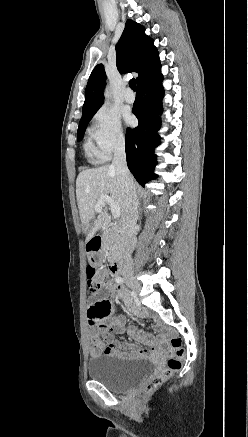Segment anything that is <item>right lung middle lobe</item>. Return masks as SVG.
Returning a JSON list of instances; mask_svg holds the SVG:
<instances>
[{"mask_svg":"<svg viewBox=\"0 0 248 437\" xmlns=\"http://www.w3.org/2000/svg\"><path fill=\"white\" fill-rule=\"evenodd\" d=\"M92 117L93 116H89V117H86L85 119L80 121L79 127H78V133H77V140L78 141L82 140V138L84 136L85 129H86V127H87V125Z\"/></svg>","mask_w":248,"mask_h":437,"instance_id":"1","label":"right lung middle lobe"}]
</instances>
